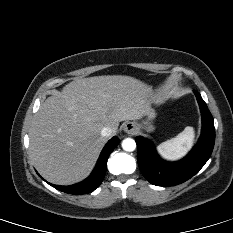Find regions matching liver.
<instances>
[{
  "label": "liver",
  "mask_w": 233,
  "mask_h": 233,
  "mask_svg": "<svg viewBox=\"0 0 233 233\" xmlns=\"http://www.w3.org/2000/svg\"><path fill=\"white\" fill-rule=\"evenodd\" d=\"M150 88L124 75L95 76L72 81L48 97L30 131V157L38 172L57 185L85 179L93 169L110 127L139 120L149 110Z\"/></svg>",
  "instance_id": "obj_1"
}]
</instances>
